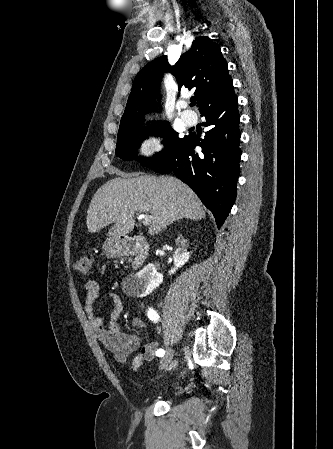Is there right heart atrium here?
<instances>
[{"mask_svg": "<svg viewBox=\"0 0 333 449\" xmlns=\"http://www.w3.org/2000/svg\"><path fill=\"white\" fill-rule=\"evenodd\" d=\"M164 149L163 140L157 136L145 137L138 146L139 153L148 159L158 157Z\"/></svg>", "mask_w": 333, "mask_h": 449, "instance_id": "right-heart-atrium-1", "label": "right heart atrium"}]
</instances>
